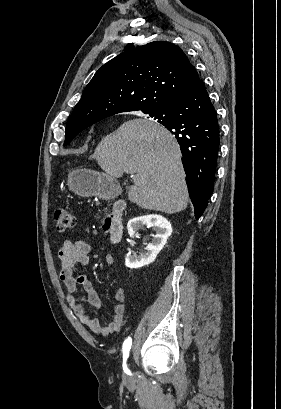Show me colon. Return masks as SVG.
Masks as SVG:
<instances>
[{"instance_id": "obj_1", "label": "colon", "mask_w": 281, "mask_h": 409, "mask_svg": "<svg viewBox=\"0 0 281 409\" xmlns=\"http://www.w3.org/2000/svg\"><path fill=\"white\" fill-rule=\"evenodd\" d=\"M56 228L59 232H66L74 226L75 217L71 210L66 208H57L53 214Z\"/></svg>"}]
</instances>
